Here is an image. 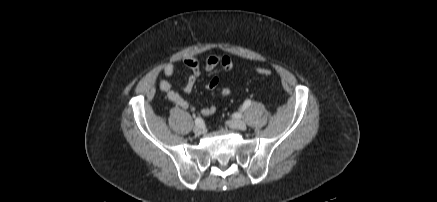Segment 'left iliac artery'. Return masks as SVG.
<instances>
[{
    "label": "left iliac artery",
    "instance_id": "left-iliac-artery-1",
    "mask_svg": "<svg viewBox=\"0 0 437 202\" xmlns=\"http://www.w3.org/2000/svg\"><path fill=\"white\" fill-rule=\"evenodd\" d=\"M251 105V100L247 99L245 100L242 110H245L246 108H248ZM236 116V115H235Z\"/></svg>",
    "mask_w": 437,
    "mask_h": 202
}]
</instances>
